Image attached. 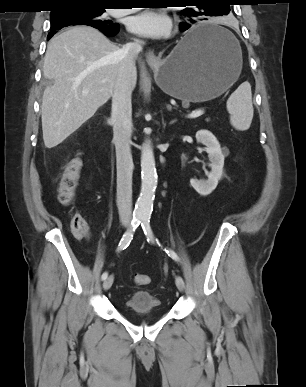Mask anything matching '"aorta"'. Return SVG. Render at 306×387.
<instances>
[{
	"label": "aorta",
	"mask_w": 306,
	"mask_h": 387,
	"mask_svg": "<svg viewBox=\"0 0 306 387\" xmlns=\"http://www.w3.org/2000/svg\"><path fill=\"white\" fill-rule=\"evenodd\" d=\"M156 187L157 173L154 153L150 143L146 142L141 148V190L134 210L137 218L151 216Z\"/></svg>",
	"instance_id": "1"
}]
</instances>
